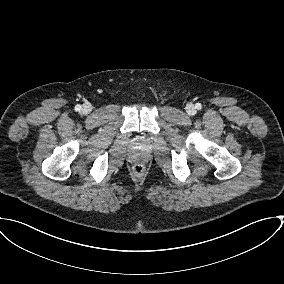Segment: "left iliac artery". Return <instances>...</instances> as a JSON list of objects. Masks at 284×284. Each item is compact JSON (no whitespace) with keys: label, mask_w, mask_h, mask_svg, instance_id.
I'll list each match as a JSON object with an SVG mask.
<instances>
[{"label":"left iliac artery","mask_w":284,"mask_h":284,"mask_svg":"<svg viewBox=\"0 0 284 284\" xmlns=\"http://www.w3.org/2000/svg\"><path fill=\"white\" fill-rule=\"evenodd\" d=\"M201 107H202V106H201L200 103H197V104H196V108H197V109H201Z\"/></svg>","instance_id":"left-iliac-artery-1"}]
</instances>
